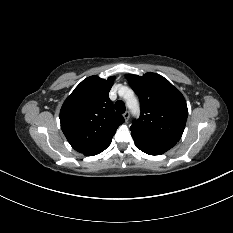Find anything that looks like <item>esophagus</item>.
Segmentation results:
<instances>
[{
  "label": "esophagus",
  "instance_id": "esophagus-1",
  "mask_svg": "<svg viewBox=\"0 0 233 233\" xmlns=\"http://www.w3.org/2000/svg\"><path fill=\"white\" fill-rule=\"evenodd\" d=\"M123 117L125 119V121L127 122L130 118V113L128 111H126L124 114H123Z\"/></svg>",
  "mask_w": 233,
  "mask_h": 233
}]
</instances>
